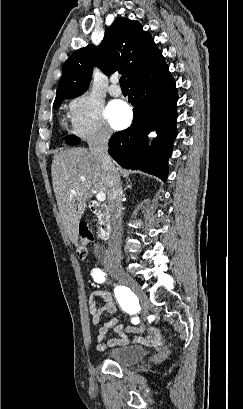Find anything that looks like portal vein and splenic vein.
I'll return each instance as SVG.
<instances>
[{
	"label": "portal vein and splenic vein",
	"instance_id": "obj_1",
	"mask_svg": "<svg viewBox=\"0 0 243 409\" xmlns=\"http://www.w3.org/2000/svg\"><path fill=\"white\" fill-rule=\"evenodd\" d=\"M73 193H75V192H73ZM96 199H97V201H99V202H104V201L106 200V194L103 193V192H99V193H97V195H96Z\"/></svg>",
	"mask_w": 243,
	"mask_h": 409
}]
</instances>
